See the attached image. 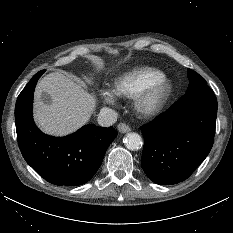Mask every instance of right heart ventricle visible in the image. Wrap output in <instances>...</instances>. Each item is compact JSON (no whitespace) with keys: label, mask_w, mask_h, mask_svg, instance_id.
<instances>
[{"label":"right heart ventricle","mask_w":233,"mask_h":233,"mask_svg":"<svg viewBox=\"0 0 233 233\" xmlns=\"http://www.w3.org/2000/svg\"><path fill=\"white\" fill-rule=\"evenodd\" d=\"M164 77V73L156 68L140 66L123 74L115 83L114 90L120 97H136L146 87Z\"/></svg>","instance_id":"e07e8e85"}]
</instances>
